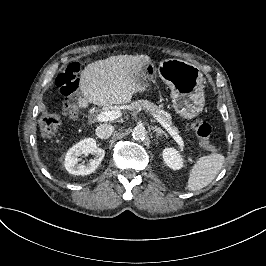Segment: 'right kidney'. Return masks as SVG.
I'll return each instance as SVG.
<instances>
[{
    "mask_svg": "<svg viewBox=\"0 0 266 266\" xmlns=\"http://www.w3.org/2000/svg\"><path fill=\"white\" fill-rule=\"evenodd\" d=\"M92 154L94 158L84 164L81 156ZM67 155L73 160L74 175H87L99 166L103 160L105 151L103 148L97 147L94 139H86L69 149Z\"/></svg>",
    "mask_w": 266,
    "mask_h": 266,
    "instance_id": "1",
    "label": "right kidney"
}]
</instances>
